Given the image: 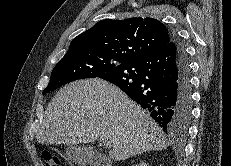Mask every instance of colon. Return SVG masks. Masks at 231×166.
Returning <instances> with one entry per match:
<instances>
[{
    "label": "colon",
    "instance_id": "1",
    "mask_svg": "<svg viewBox=\"0 0 231 166\" xmlns=\"http://www.w3.org/2000/svg\"><path fill=\"white\" fill-rule=\"evenodd\" d=\"M43 157L46 166H61L59 159L56 156L50 154L49 152L44 153Z\"/></svg>",
    "mask_w": 231,
    "mask_h": 166
}]
</instances>
